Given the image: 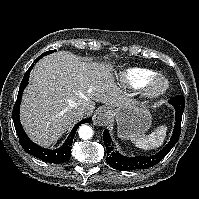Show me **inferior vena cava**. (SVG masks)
I'll return each instance as SVG.
<instances>
[{"instance_id":"1","label":"inferior vena cava","mask_w":199,"mask_h":199,"mask_svg":"<svg viewBox=\"0 0 199 199\" xmlns=\"http://www.w3.org/2000/svg\"><path fill=\"white\" fill-rule=\"evenodd\" d=\"M89 108L85 105H81L77 108L78 113L82 116L88 112Z\"/></svg>"}]
</instances>
